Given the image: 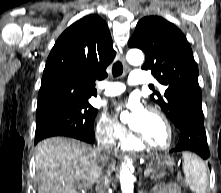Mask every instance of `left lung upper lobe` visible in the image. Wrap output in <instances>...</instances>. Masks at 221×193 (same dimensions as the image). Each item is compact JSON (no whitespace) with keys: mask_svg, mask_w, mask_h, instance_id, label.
I'll list each match as a JSON object with an SVG mask.
<instances>
[{"mask_svg":"<svg viewBox=\"0 0 221 193\" xmlns=\"http://www.w3.org/2000/svg\"><path fill=\"white\" fill-rule=\"evenodd\" d=\"M128 46L144 51L146 61L142 69L151 70L167 86L163 95L156 92L151 98L179 128L187 106L202 102L198 68L186 37L165 19L147 16L138 22Z\"/></svg>","mask_w":221,"mask_h":193,"instance_id":"obj_1","label":"left lung upper lobe"}]
</instances>
